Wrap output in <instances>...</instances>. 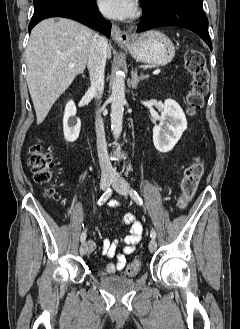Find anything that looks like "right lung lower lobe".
Masks as SVG:
<instances>
[{"mask_svg":"<svg viewBox=\"0 0 240 329\" xmlns=\"http://www.w3.org/2000/svg\"><path fill=\"white\" fill-rule=\"evenodd\" d=\"M34 6L29 32L43 19L64 17L78 21L110 37L111 23L101 16L95 0H34Z\"/></svg>","mask_w":240,"mask_h":329,"instance_id":"1","label":"right lung lower lobe"}]
</instances>
